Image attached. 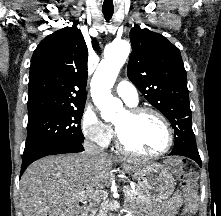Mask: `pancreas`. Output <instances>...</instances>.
<instances>
[{
  "label": "pancreas",
  "mask_w": 221,
  "mask_h": 216,
  "mask_svg": "<svg viewBox=\"0 0 221 216\" xmlns=\"http://www.w3.org/2000/svg\"><path fill=\"white\" fill-rule=\"evenodd\" d=\"M125 197H126V203H131L136 205H145L150 203V200L147 197H145L140 187L137 185H135V189L133 191L131 189H129V191H126ZM89 216H95V214L91 213ZM96 216H107V206L102 205L101 209L96 214Z\"/></svg>",
  "instance_id": "cf45deb5"
}]
</instances>
